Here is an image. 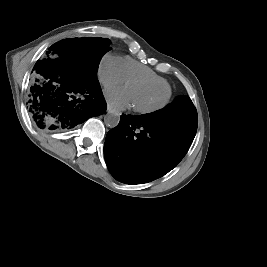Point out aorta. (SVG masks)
<instances>
[{"mask_svg":"<svg viewBox=\"0 0 267 267\" xmlns=\"http://www.w3.org/2000/svg\"><path fill=\"white\" fill-rule=\"evenodd\" d=\"M119 121H120V116L118 113L108 112L104 116V122L110 128L116 127L119 124Z\"/></svg>","mask_w":267,"mask_h":267,"instance_id":"762f6f07","label":"aorta"}]
</instances>
